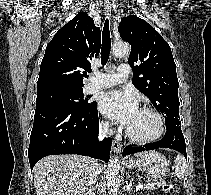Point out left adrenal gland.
<instances>
[{
  "label": "left adrenal gland",
  "mask_w": 211,
  "mask_h": 195,
  "mask_svg": "<svg viewBox=\"0 0 211 195\" xmlns=\"http://www.w3.org/2000/svg\"><path fill=\"white\" fill-rule=\"evenodd\" d=\"M126 190L129 192V193H131L132 192V181L130 180V182H128V181H126ZM133 194H134V192H133ZM135 195V194H134Z\"/></svg>",
  "instance_id": "a2214340"
}]
</instances>
